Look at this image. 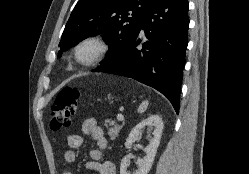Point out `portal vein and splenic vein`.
<instances>
[{"label":"portal vein and splenic vein","mask_w":249,"mask_h":174,"mask_svg":"<svg viewBox=\"0 0 249 174\" xmlns=\"http://www.w3.org/2000/svg\"><path fill=\"white\" fill-rule=\"evenodd\" d=\"M117 119H118V121H123L124 120V116L122 114H118L117 115Z\"/></svg>","instance_id":"obj_1"}]
</instances>
